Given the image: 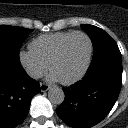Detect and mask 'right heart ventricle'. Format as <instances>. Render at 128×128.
I'll list each match as a JSON object with an SVG mask.
<instances>
[{
  "mask_svg": "<svg viewBox=\"0 0 128 128\" xmlns=\"http://www.w3.org/2000/svg\"><path fill=\"white\" fill-rule=\"evenodd\" d=\"M72 32H55L40 35L32 40L29 46L30 50L48 65L61 42Z\"/></svg>",
  "mask_w": 128,
  "mask_h": 128,
  "instance_id": "right-heart-ventricle-1",
  "label": "right heart ventricle"
}]
</instances>
